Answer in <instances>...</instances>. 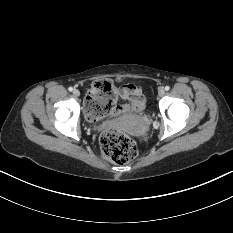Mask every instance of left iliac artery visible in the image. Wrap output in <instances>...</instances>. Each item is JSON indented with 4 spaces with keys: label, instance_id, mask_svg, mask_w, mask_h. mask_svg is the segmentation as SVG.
Wrapping results in <instances>:
<instances>
[{
    "label": "left iliac artery",
    "instance_id": "obj_1",
    "mask_svg": "<svg viewBox=\"0 0 233 233\" xmlns=\"http://www.w3.org/2000/svg\"><path fill=\"white\" fill-rule=\"evenodd\" d=\"M169 89H170L169 86H166V87H165V91H168Z\"/></svg>",
    "mask_w": 233,
    "mask_h": 233
}]
</instances>
